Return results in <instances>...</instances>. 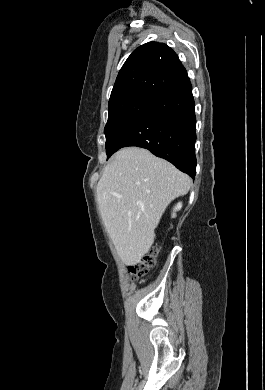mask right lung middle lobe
I'll return each mask as SVG.
<instances>
[{"label": "right lung middle lobe", "mask_w": 265, "mask_h": 390, "mask_svg": "<svg viewBox=\"0 0 265 390\" xmlns=\"http://www.w3.org/2000/svg\"><path fill=\"white\" fill-rule=\"evenodd\" d=\"M154 99L151 96L136 95L108 106V121L104 130L107 159L116 152V144L126 128Z\"/></svg>", "instance_id": "1"}]
</instances>
